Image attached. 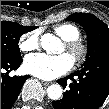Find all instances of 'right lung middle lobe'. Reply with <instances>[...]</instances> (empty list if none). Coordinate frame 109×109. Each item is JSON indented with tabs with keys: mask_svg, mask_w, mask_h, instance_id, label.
I'll use <instances>...</instances> for the list:
<instances>
[{
	"mask_svg": "<svg viewBox=\"0 0 109 109\" xmlns=\"http://www.w3.org/2000/svg\"><path fill=\"white\" fill-rule=\"evenodd\" d=\"M37 26H22L15 22L1 21V57L20 58L18 47L20 36L36 29Z\"/></svg>",
	"mask_w": 109,
	"mask_h": 109,
	"instance_id": "right-lung-middle-lobe-1",
	"label": "right lung middle lobe"
}]
</instances>
